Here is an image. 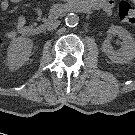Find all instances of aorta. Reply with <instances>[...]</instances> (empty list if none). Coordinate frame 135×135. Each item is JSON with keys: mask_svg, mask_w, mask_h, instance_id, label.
I'll return each instance as SVG.
<instances>
[{"mask_svg": "<svg viewBox=\"0 0 135 135\" xmlns=\"http://www.w3.org/2000/svg\"><path fill=\"white\" fill-rule=\"evenodd\" d=\"M78 22H79V17L76 14H74V13L68 14L66 16V18H65V23L69 27L77 26Z\"/></svg>", "mask_w": 135, "mask_h": 135, "instance_id": "obj_1", "label": "aorta"}]
</instances>
